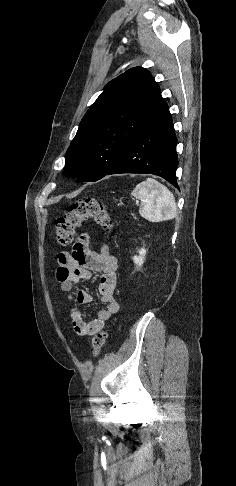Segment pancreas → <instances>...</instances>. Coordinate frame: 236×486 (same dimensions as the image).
<instances>
[{"label": "pancreas", "instance_id": "obj_1", "mask_svg": "<svg viewBox=\"0 0 236 486\" xmlns=\"http://www.w3.org/2000/svg\"><path fill=\"white\" fill-rule=\"evenodd\" d=\"M132 216H134V218H136L134 214H132Z\"/></svg>", "mask_w": 236, "mask_h": 486}]
</instances>
